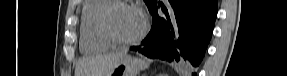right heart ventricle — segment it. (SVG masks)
Masks as SVG:
<instances>
[{
    "label": "right heart ventricle",
    "mask_w": 287,
    "mask_h": 76,
    "mask_svg": "<svg viewBox=\"0 0 287 76\" xmlns=\"http://www.w3.org/2000/svg\"><path fill=\"white\" fill-rule=\"evenodd\" d=\"M110 0H87L81 10L80 49L84 53H98L111 47L100 35L97 21L101 10Z\"/></svg>",
    "instance_id": "e07e8e85"
}]
</instances>
